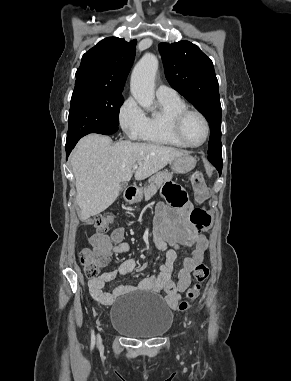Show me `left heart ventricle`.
<instances>
[{
	"label": "left heart ventricle",
	"instance_id": "obj_1",
	"mask_svg": "<svg viewBox=\"0 0 291 381\" xmlns=\"http://www.w3.org/2000/svg\"><path fill=\"white\" fill-rule=\"evenodd\" d=\"M184 137L191 144H199L205 136V126L202 119L195 114L188 115L182 124Z\"/></svg>",
	"mask_w": 291,
	"mask_h": 381
}]
</instances>
